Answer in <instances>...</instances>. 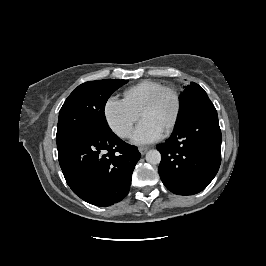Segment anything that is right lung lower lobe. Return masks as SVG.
Masks as SVG:
<instances>
[{
    "instance_id": "obj_1",
    "label": "right lung lower lobe",
    "mask_w": 266,
    "mask_h": 266,
    "mask_svg": "<svg viewBox=\"0 0 266 266\" xmlns=\"http://www.w3.org/2000/svg\"><path fill=\"white\" fill-rule=\"evenodd\" d=\"M58 157L72 191L90 204L105 207L128 194L141 154L110 129L66 145Z\"/></svg>"
}]
</instances>
